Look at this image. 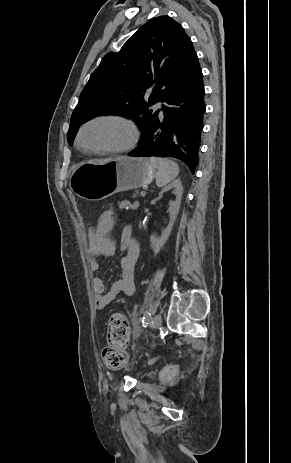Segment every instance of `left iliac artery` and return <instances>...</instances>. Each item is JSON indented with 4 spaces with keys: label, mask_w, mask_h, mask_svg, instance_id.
Returning <instances> with one entry per match:
<instances>
[{
    "label": "left iliac artery",
    "mask_w": 291,
    "mask_h": 463,
    "mask_svg": "<svg viewBox=\"0 0 291 463\" xmlns=\"http://www.w3.org/2000/svg\"><path fill=\"white\" fill-rule=\"evenodd\" d=\"M150 319H151L150 313L145 312V314H144V316H143V319H142V323H143V326H144V327H146V326L149 324Z\"/></svg>",
    "instance_id": "1"
}]
</instances>
